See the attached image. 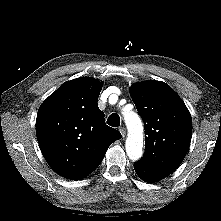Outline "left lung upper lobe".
<instances>
[{
	"mask_svg": "<svg viewBox=\"0 0 221 221\" xmlns=\"http://www.w3.org/2000/svg\"><path fill=\"white\" fill-rule=\"evenodd\" d=\"M130 95L145 127V152L138 162L173 173L191 141L192 118L187 107L169 85L160 81L136 83Z\"/></svg>",
	"mask_w": 221,
	"mask_h": 221,
	"instance_id": "left-lung-upper-lobe-1",
	"label": "left lung upper lobe"
}]
</instances>
